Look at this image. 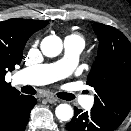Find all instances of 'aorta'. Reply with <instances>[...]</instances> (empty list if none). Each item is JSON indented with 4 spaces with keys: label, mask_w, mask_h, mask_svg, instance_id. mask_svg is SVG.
Segmentation results:
<instances>
[{
    "label": "aorta",
    "mask_w": 131,
    "mask_h": 131,
    "mask_svg": "<svg viewBox=\"0 0 131 131\" xmlns=\"http://www.w3.org/2000/svg\"><path fill=\"white\" fill-rule=\"evenodd\" d=\"M62 49V40L56 35L47 36L41 42V51L47 57L58 56ZM55 114L59 120L68 121L73 117V109L68 104H60L56 107Z\"/></svg>",
    "instance_id": "aorta-1"
}]
</instances>
